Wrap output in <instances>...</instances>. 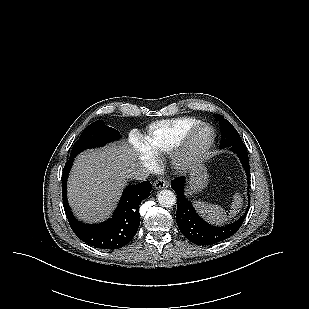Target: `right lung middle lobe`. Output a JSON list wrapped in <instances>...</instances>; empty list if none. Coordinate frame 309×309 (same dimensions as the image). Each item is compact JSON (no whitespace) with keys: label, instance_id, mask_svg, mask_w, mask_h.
Returning a JSON list of instances; mask_svg holds the SVG:
<instances>
[{"label":"right lung middle lobe","instance_id":"dd1d6c3e","mask_svg":"<svg viewBox=\"0 0 309 309\" xmlns=\"http://www.w3.org/2000/svg\"><path fill=\"white\" fill-rule=\"evenodd\" d=\"M120 138V133L104 124L103 121H95L84 129L79 140H77L71 150L70 158L76 157L81 151L100 147L108 142Z\"/></svg>","mask_w":309,"mask_h":309}]
</instances>
